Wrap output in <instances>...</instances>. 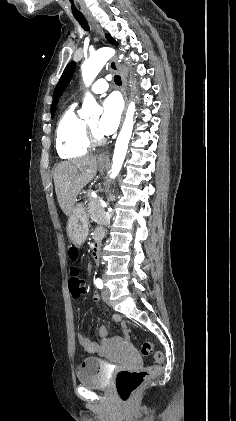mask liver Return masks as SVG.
<instances>
[{
	"label": "liver",
	"mask_w": 236,
	"mask_h": 421,
	"mask_svg": "<svg viewBox=\"0 0 236 421\" xmlns=\"http://www.w3.org/2000/svg\"><path fill=\"white\" fill-rule=\"evenodd\" d=\"M97 170L96 156H79L75 160H62L57 164L53 178L57 200L64 215L69 217L76 198Z\"/></svg>",
	"instance_id": "6515ba94"
}]
</instances>
